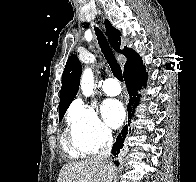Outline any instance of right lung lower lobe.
I'll return each mask as SVG.
<instances>
[{
    "mask_svg": "<svg viewBox=\"0 0 196 182\" xmlns=\"http://www.w3.org/2000/svg\"><path fill=\"white\" fill-rule=\"evenodd\" d=\"M124 80L126 83L127 91L130 95V100L127 106V111L129 119L132 117V112L137 107L140 101V95L137 94V91L140 90L142 86L146 87V82L148 78V73L143 65L141 59H138L135 63L131 64L124 70ZM128 133V126H124L121 133L118 135L116 142L113 145L112 153L114 163L119 166L117 156L123 147V142Z\"/></svg>",
    "mask_w": 196,
    "mask_h": 182,
    "instance_id": "right-lung-lower-lobe-1",
    "label": "right lung lower lobe"
}]
</instances>
